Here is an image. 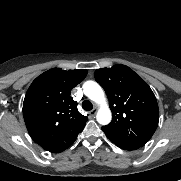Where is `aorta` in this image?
Returning <instances> with one entry per match:
<instances>
[{
  "label": "aorta",
  "instance_id": "762f6f07",
  "mask_svg": "<svg viewBox=\"0 0 181 181\" xmlns=\"http://www.w3.org/2000/svg\"><path fill=\"white\" fill-rule=\"evenodd\" d=\"M85 95L100 106L97 113V121L106 125L111 121V111L108 107L102 88L94 81H87L83 85Z\"/></svg>",
  "mask_w": 181,
  "mask_h": 181
}]
</instances>
